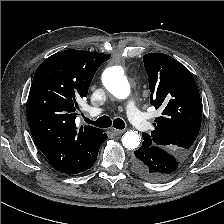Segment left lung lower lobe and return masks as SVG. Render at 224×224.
I'll return each mask as SVG.
<instances>
[{
    "instance_id": "obj_1",
    "label": "left lung lower lobe",
    "mask_w": 224,
    "mask_h": 224,
    "mask_svg": "<svg viewBox=\"0 0 224 224\" xmlns=\"http://www.w3.org/2000/svg\"><path fill=\"white\" fill-rule=\"evenodd\" d=\"M133 166L144 179L161 182L162 176L178 170L179 162L175 155L143 142L142 147L135 151Z\"/></svg>"
}]
</instances>
